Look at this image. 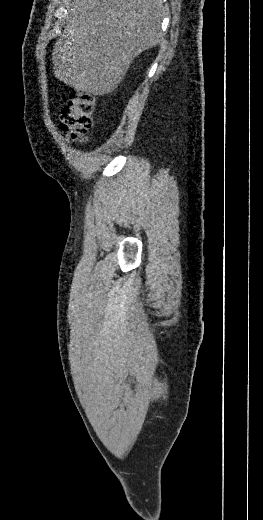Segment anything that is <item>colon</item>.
<instances>
[{"label":"colon","instance_id":"obj_1","mask_svg":"<svg viewBox=\"0 0 263 520\" xmlns=\"http://www.w3.org/2000/svg\"><path fill=\"white\" fill-rule=\"evenodd\" d=\"M94 97L91 93L72 91L61 112L60 129L73 141L85 143L92 127Z\"/></svg>","mask_w":263,"mask_h":520}]
</instances>
